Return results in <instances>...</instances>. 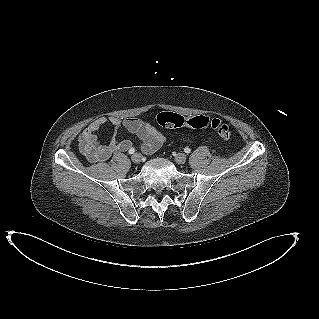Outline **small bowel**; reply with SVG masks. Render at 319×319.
<instances>
[{"mask_svg": "<svg viewBox=\"0 0 319 319\" xmlns=\"http://www.w3.org/2000/svg\"><path fill=\"white\" fill-rule=\"evenodd\" d=\"M106 124L114 128V136L108 144H100L97 134ZM125 129L137 136L140 140V149L144 154H152L157 151L167 140L166 136L149 122L138 118L120 119L115 116L99 117L87 126L79 136V147L88 161L101 163L110 159L117 153L129 151L133 146L129 139L118 140L116 133L119 129Z\"/></svg>", "mask_w": 319, "mask_h": 319, "instance_id": "small-bowel-1", "label": "small bowel"}]
</instances>
